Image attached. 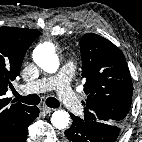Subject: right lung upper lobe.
I'll return each instance as SVG.
<instances>
[{"label": "right lung upper lobe", "instance_id": "right-lung-upper-lobe-1", "mask_svg": "<svg viewBox=\"0 0 142 142\" xmlns=\"http://www.w3.org/2000/svg\"><path fill=\"white\" fill-rule=\"evenodd\" d=\"M39 35L35 29L0 28V142L13 134L29 112V106L11 104V98L5 94L12 87L11 81L20 74L27 49Z\"/></svg>", "mask_w": 142, "mask_h": 142}]
</instances>
